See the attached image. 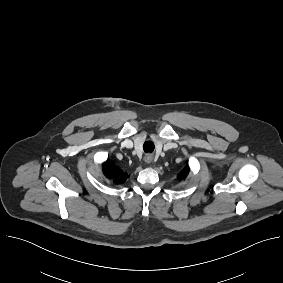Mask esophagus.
Segmentation results:
<instances>
[{"label": "esophagus", "instance_id": "1", "mask_svg": "<svg viewBox=\"0 0 283 283\" xmlns=\"http://www.w3.org/2000/svg\"><path fill=\"white\" fill-rule=\"evenodd\" d=\"M144 160L146 163L150 164L153 161V155L152 154L145 155Z\"/></svg>", "mask_w": 283, "mask_h": 283}]
</instances>
